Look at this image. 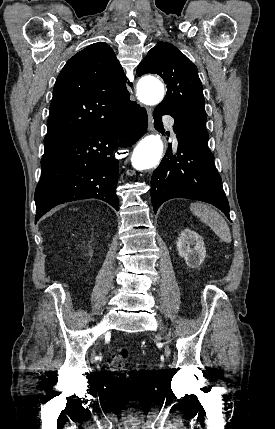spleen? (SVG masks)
<instances>
[{
  "label": "spleen",
  "instance_id": "3e777b00",
  "mask_svg": "<svg viewBox=\"0 0 275 429\" xmlns=\"http://www.w3.org/2000/svg\"><path fill=\"white\" fill-rule=\"evenodd\" d=\"M190 210L200 218L205 224H207L215 234L223 241L231 242V233L228 224L224 218L213 208L202 203H192Z\"/></svg>",
  "mask_w": 275,
  "mask_h": 429
}]
</instances>
